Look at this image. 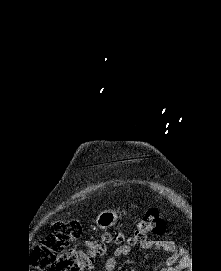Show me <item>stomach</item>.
<instances>
[{
    "mask_svg": "<svg viewBox=\"0 0 221 271\" xmlns=\"http://www.w3.org/2000/svg\"><path fill=\"white\" fill-rule=\"evenodd\" d=\"M118 219V215L114 209H105V211H101L99 215L96 217V225L100 227V229H105V227H111L114 225Z\"/></svg>",
    "mask_w": 221,
    "mask_h": 271,
    "instance_id": "obj_1",
    "label": "stomach"
}]
</instances>
